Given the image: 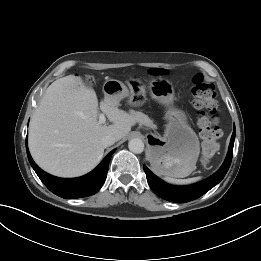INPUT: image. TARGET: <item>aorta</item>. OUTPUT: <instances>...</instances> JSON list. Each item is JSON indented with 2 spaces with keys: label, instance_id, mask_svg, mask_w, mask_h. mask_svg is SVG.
<instances>
[{
  "label": "aorta",
  "instance_id": "obj_1",
  "mask_svg": "<svg viewBox=\"0 0 261 261\" xmlns=\"http://www.w3.org/2000/svg\"><path fill=\"white\" fill-rule=\"evenodd\" d=\"M128 148L135 154H140L144 151V143L139 138H133L128 143Z\"/></svg>",
  "mask_w": 261,
  "mask_h": 261
}]
</instances>
